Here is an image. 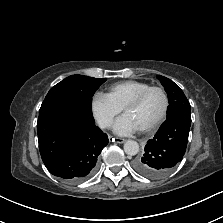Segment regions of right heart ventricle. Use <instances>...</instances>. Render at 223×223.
<instances>
[{
  "label": "right heart ventricle",
  "mask_w": 223,
  "mask_h": 223,
  "mask_svg": "<svg viewBox=\"0 0 223 223\" xmlns=\"http://www.w3.org/2000/svg\"><path fill=\"white\" fill-rule=\"evenodd\" d=\"M151 85L139 80H125L117 82L108 88L107 95L121 108L134 98L139 92Z\"/></svg>",
  "instance_id": "right-heart-ventricle-1"
}]
</instances>
